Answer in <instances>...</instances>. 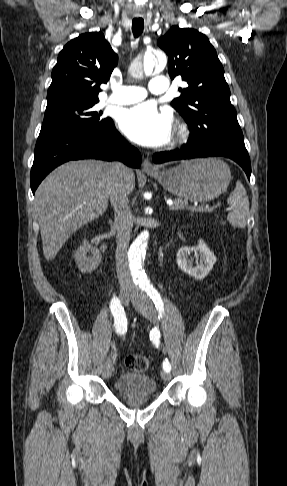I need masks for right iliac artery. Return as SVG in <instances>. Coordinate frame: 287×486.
<instances>
[{"instance_id": "obj_1", "label": "right iliac artery", "mask_w": 287, "mask_h": 486, "mask_svg": "<svg viewBox=\"0 0 287 486\" xmlns=\"http://www.w3.org/2000/svg\"><path fill=\"white\" fill-rule=\"evenodd\" d=\"M111 312L114 316V324L116 332L124 335L127 331V318L118 298H113L110 304Z\"/></svg>"}]
</instances>
